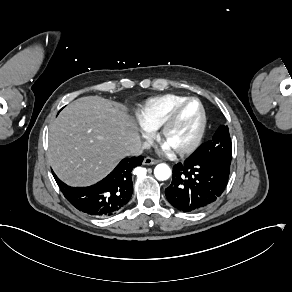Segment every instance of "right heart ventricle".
Listing matches in <instances>:
<instances>
[{"label": "right heart ventricle", "instance_id": "right-heart-ventricle-1", "mask_svg": "<svg viewBox=\"0 0 292 292\" xmlns=\"http://www.w3.org/2000/svg\"><path fill=\"white\" fill-rule=\"evenodd\" d=\"M186 98L188 97L176 93H166L152 97L137 107L134 113L143 125L159 128L169 111Z\"/></svg>", "mask_w": 292, "mask_h": 292}]
</instances>
